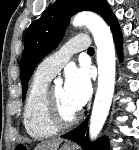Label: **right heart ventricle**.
I'll list each match as a JSON object with an SVG mask.
<instances>
[{"label": "right heart ventricle", "instance_id": "e07e8e85", "mask_svg": "<svg viewBox=\"0 0 139 150\" xmlns=\"http://www.w3.org/2000/svg\"><path fill=\"white\" fill-rule=\"evenodd\" d=\"M50 79L35 74L23 109L25 130L36 139L52 136L57 131L48 123L44 114V99Z\"/></svg>", "mask_w": 139, "mask_h": 150}]
</instances>
